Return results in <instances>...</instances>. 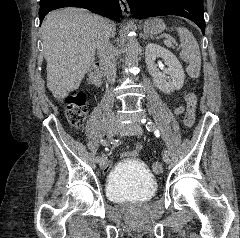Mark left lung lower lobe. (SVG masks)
<instances>
[{"label":"left lung lower lobe","instance_id":"left-lung-lower-lobe-1","mask_svg":"<svg viewBox=\"0 0 240 238\" xmlns=\"http://www.w3.org/2000/svg\"><path fill=\"white\" fill-rule=\"evenodd\" d=\"M135 18L177 15L196 23L205 33L203 0H127Z\"/></svg>","mask_w":240,"mask_h":238}]
</instances>
